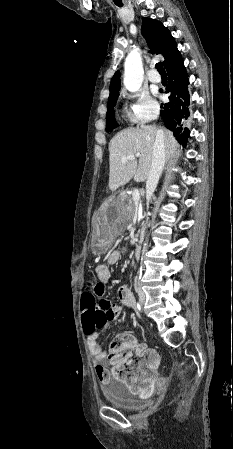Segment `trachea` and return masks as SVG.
<instances>
[{
	"label": "trachea",
	"instance_id": "1",
	"mask_svg": "<svg viewBox=\"0 0 233 449\" xmlns=\"http://www.w3.org/2000/svg\"><path fill=\"white\" fill-rule=\"evenodd\" d=\"M156 69L158 70V72H159L160 74H166V71H165V69L163 68V65H162L161 62H159V63L156 64Z\"/></svg>",
	"mask_w": 233,
	"mask_h": 449
}]
</instances>
